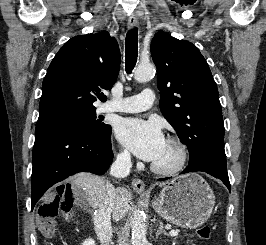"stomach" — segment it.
<instances>
[{
    "instance_id": "stomach-1",
    "label": "stomach",
    "mask_w": 266,
    "mask_h": 245,
    "mask_svg": "<svg viewBox=\"0 0 266 245\" xmlns=\"http://www.w3.org/2000/svg\"><path fill=\"white\" fill-rule=\"evenodd\" d=\"M214 205L211 187L197 173L175 177L152 201L160 217L182 229L201 227L212 215Z\"/></svg>"
}]
</instances>
